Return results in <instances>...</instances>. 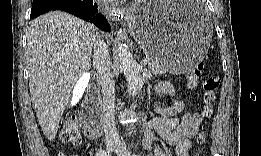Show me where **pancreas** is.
I'll use <instances>...</instances> for the list:
<instances>
[{
  "label": "pancreas",
  "mask_w": 261,
  "mask_h": 156,
  "mask_svg": "<svg viewBox=\"0 0 261 156\" xmlns=\"http://www.w3.org/2000/svg\"><path fill=\"white\" fill-rule=\"evenodd\" d=\"M150 58H151V61H150V63L147 64V66L154 75H161L168 71V68L166 66H164L161 61H158L157 59L153 58L152 56H150Z\"/></svg>",
  "instance_id": "cf45deb5"
}]
</instances>
